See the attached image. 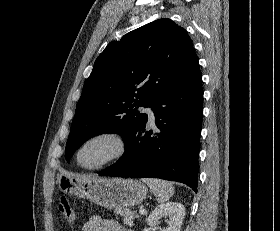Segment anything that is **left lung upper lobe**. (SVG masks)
Listing matches in <instances>:
<instances>
[{
	"mask_svg": "<svg viewBox=\"0 0 280 231\" xmlns=\"http://www.w3.org/2000/svg\"><path fill=\"white\" fill-rule=\"evenodd\" d=\"M199 69L184 28L162 18L110 42L96 59L76 106L65 156L88 139L118 133L125 141L167 90Z\"/></svg>",
	"mask_w": 280,
	"mask_h": 231,
	"instance_id": "left-lung-upper-lobe-1",
	"label": "left lung upper lobe"
}]
</instances>
